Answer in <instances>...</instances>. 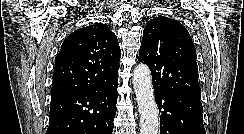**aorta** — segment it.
<instances>
[{"mask_svg":"<svg viewBox=\"0 0 244 134\" xmlns=\"http://www.w3.org/2000/svg\"><path fill=\"white\" fill-rule=\"evenodd\" d=\"M133 87L140 115V134H158V109L148 66L139 64L134 68Z\"/></svg>","mask_w":244,"mask_h":134,"instance_id":"aorta-1","label":"aorta"}]
</instances>
